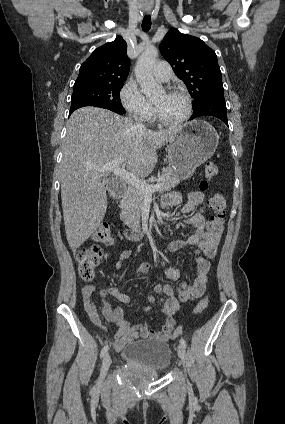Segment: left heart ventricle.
I'll return each mask as SVG.
<instances>
[{
  "label": "left heart ventricle",
  "mask_w": 285,
  "mask_h": 424,
  "mask_svg": "<svg viewBox=\"0 0 285 424\" xmlns=\"http://www.w3.org/2000/svg\"><path fill=\"white\" fill-rule=\"evenodd\" d=\"M153 104L157 107L160 115L168 121L181 119L187 111L186 101L182 96L168 94L164 91L153 99Z\"/></svg>",
  "instance_id": "left-heart-ventricle-1"
}]
</instances>
